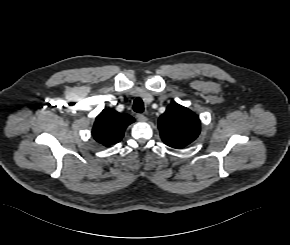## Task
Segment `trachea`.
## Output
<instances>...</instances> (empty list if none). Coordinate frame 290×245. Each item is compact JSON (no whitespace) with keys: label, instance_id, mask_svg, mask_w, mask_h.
I'll use <instances>...</instances> for the list:
<instances>
[{"label":"trachea","instance_id":"trachea-1","mask_svg":"<svg viewBox=\"0 0 290 245\" xmlns=\"http://www.w3.org/2000/svg\"><path fill=\"white\" fill-rule=\"evenodd\" d=\"M133 110L137 113H142L144 111V104L140 98H136L133 103Z\"/></svg>","mask_w":290,"mask_h":245}]
</instances>
